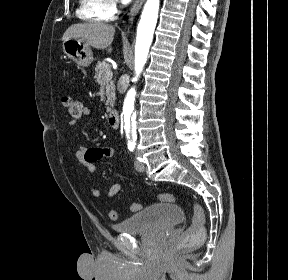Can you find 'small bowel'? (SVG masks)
<instances>
[{
    "mask_svg": "<svg viewBox=\"0 0 288 280\" xmlns=\"http://www.w3.org/2000/svg\"><path fill=\"white\" fill-rule=\"evenodd\" d=\"M91 110L88 107H83L82 116H90ZM70 126H75L77 121L72 119L68 122ZM77 159L83 164L86 170L93 174L95 171L94 163L103 158H112L116 155V149L111 147H79L75 153ZM122 190V185L120 183L113 184L109 190L106 192L105 196L108 198L116 196ZM91 194L94 197L102 196V192L97 187H91Z\"/></svg>",
    "mask_w": 288,
    "mask_h": 280,
    "instance_id": "1",
    "label": "small bowel"
}]
</instances>
